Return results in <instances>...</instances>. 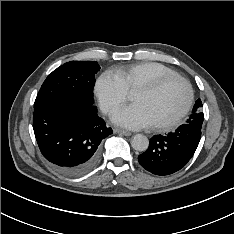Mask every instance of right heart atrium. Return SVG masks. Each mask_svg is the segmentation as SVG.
<instances>
[{"instance_id":"d8ad5b80","label":"right heart atrium","mask_w":234,"mask_h":234,"mask_svg":"<svg viewBox=\"0 0 234 234\" xmlns=\"http://www.w3.org/2000/svg\"><path fill=\"white\" fill-rule=\"evenodd\" d=\"M95 94L104 113L114 112L128 99V92L124 84L111 71H105L97 78Z\"/></svg>"}]
</instances>
